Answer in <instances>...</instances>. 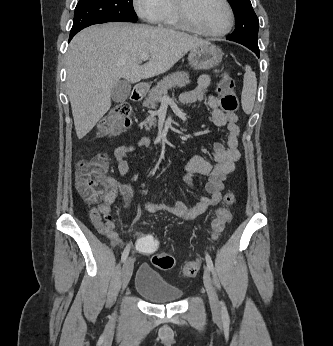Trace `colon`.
<instances>
[{"instance_id":"1","label":"colon","mask_w":333,"mask_h":346,"mask_svg":"<svg viewBox=\"0 0 333 346\" xmlns=\"http://www.w3.org/2000/svg\"><path fill=\"white\" fill-rule=\"evenodd\" d=\"M222 108L227 113H234L238 109V98L234 80L228 73H224L217 89ZM131 108L128 104L115 106L100 122L98 134L101 137L116 135L130 125ZM109 169V159L101 154L82 161L76 171V186L82 198L91 204H101L107 198L111 190V180L106 176ZM236 197L229 192L224 196V206L220 207L211 223L213 238H217L231 220V207L235 204ZM133 232L137 254L142 256H152V264L162 270L174 268L175 258L164 252L156 253L160 250L159 241L156 235H139L140 227L134 226ZM156 253V254H155ZM200 268L199 261H190L181 268L184 277L194 276Z\"/></svg>"}]
</instances>
